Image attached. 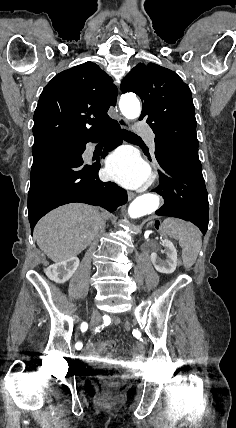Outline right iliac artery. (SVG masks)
Returning a JSON list of instances; mask_svg holds the SVG:
<instances>
[{
  "mask_svg": "<svg viewBox=\"0 0 236 428\" xmlns=\"http://www.w3.org/2000/svg\"><path fill=\"white\" fill-rule=\"evenodd\" d=\"M87 328H88V324H87L86 322H83V323L81 324V331H82V332H85V331L87 330ZM82 347H83V344H82L81 342H77V343L75 344V348H76L77 350H80Z\"/></svg>",
  "mask_w": 236,
  "mask_h": 428,
  "instance_id": "1",
  "label": "right iliac artery"
}]
</instances>
